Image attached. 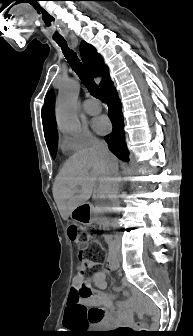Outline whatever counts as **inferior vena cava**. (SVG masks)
<instances>
[{"label": "inferior vena cava", "instance_id": "obj_1", "mask_svg": "<svg viewBox=\"0 0 193 336\" xmlns=\"http://www.w3.org/2000/svg\"><path fill=\"white\" fill-rule=\"evenodd\" d=\"M93 148L102 156V161L104 165H108V170H112L113 175H117L120 171V164L119 162H113L112 158H110V152L107 146V143L104 141L96 140L93 143ZM118 181L117 177H112L109 183V194L108 198L111 201L113 207H117L120 204L119 197H118Z\"/></svg>", "mask_w": 193, "mask_h": 336}]
</instances>
